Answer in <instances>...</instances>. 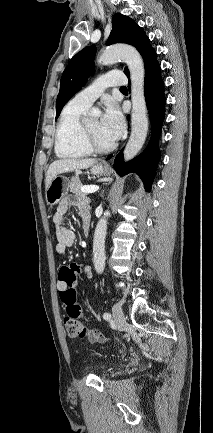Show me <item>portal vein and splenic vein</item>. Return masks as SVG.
Instances as JSON below:
<instances>
[{
	"label": "portal vein and splenic vein",
	"mask_w": 213,
	"mask_h": 433,
	"mask_svg": "<svg viewBox=\"0 0 213 433\" xmlns=\"http://www.w3.org/2000/svg\"><path fill=\"white\" fill-rule=\"evenodd\" d=\"M98 189H99V187H98V186H95V185H93V186H83V187L81 188V191H82L83 193H94V192H96Z\"/></svg>",
	"instance_id": "1"
}]
</instances>
